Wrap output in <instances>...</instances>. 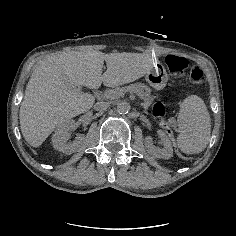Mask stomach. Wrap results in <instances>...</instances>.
I'll return each mask as SVG.
<instances>
[{
	"label": "stomach",
	"mask_w": 236,
	"mask_h": 236,
	"mask_svg": "<svg viewBox=\"0 0 236 236\" xmlns=\"http://www.w3.org/2000/svg\"><path fill=\"white\" fill-rule=\"evenodd\" d=\"M146 81L153 88L160 90L166 86L168 74L163 66L157 64L147 73Z\"/></svg>",
	"instance_id": "obj_1"
}]
</instances>
